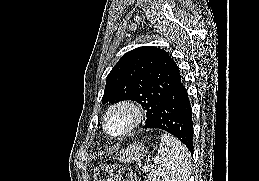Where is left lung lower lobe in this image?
Listing matches in <instances>:
<instances>
[{
	"label": "left lung lower lobe",
	"mask_w": 259,
	"mask_h": 181,
	"mask_svg": "<svg viewBox=\"0 0 259 181\" xmlns=\"http://www.w3.org/2000/svg\"><path fill=\"white\" fill-rule=\"evenodd\" d=\"M187 90L180 80L165 96L153 120L143 128L165 130L181 140L193 154L192 112Z\"/></svg>",
	"instance_id": "left-lung-lower-lobe-1"
}]
</instances>
